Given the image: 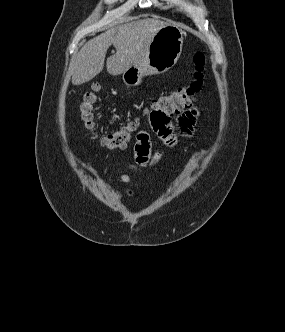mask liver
Here are the masks:
<instances>
[{"instance_id": "obj_1", "label": "liver", "mask_w": 285, "mask_h": 332, "mask_svg": "<svg viewBox=\"0 0 285 332\" xmlns=\"http://www.w3.org/2000/svg\"><path fill=\"white\" fill-rule=\"evenodd\" d=\"M167 25L158 19H143L111 26L89 40L73 57L70 63L72 84L81 85L97 76L104 68L106 53L111 45L116 53L106 62L110 75H120L141 63L155 34Z\"/></svg>"}]
</instances>
